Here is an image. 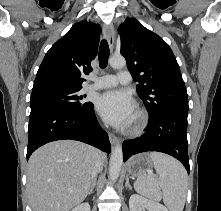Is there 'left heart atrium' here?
Instances as JSON below:
<instances>
[{
	"label": "left heart atrium",
	"instance_id": "1",
	"mask_svg": "<svg viewBox=\"0 0 221 211\" xmlns=\"http://www.w3.org/2000/svg\"><path fill=\"white\" fill-rule=\"evenodd\" d=\"M99 114L117 127L129 125L134 117L135 103L124 91L112 90L102 94L96 103Z\"/></svg>",
	"mask_w": 221,
	"mask_h": 211
}]
</instances>
